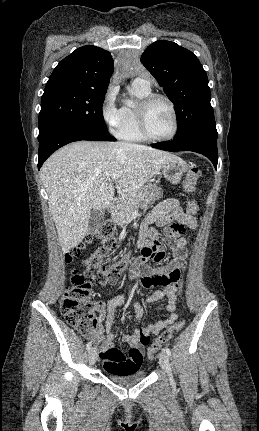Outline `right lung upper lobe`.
I'll return each instance as SVG.
<instances>
[{
	"label": "right lung upper lobe",
	"mask_w": 259,
	"mask_h": 431,
	"mask_svg": "<svg viewBox=\"0 0 259 431\" xmlns=\"http://www.w3.org/2000/svg\"><path fill=\"white\" fill-rule=\"evenodd\" d=\"M111 54L96 46L76 49L56 66L45 90L71 88L106 92L113 73Z\"/></svg>",
	"instance_id": "1"
}]
</instances>
